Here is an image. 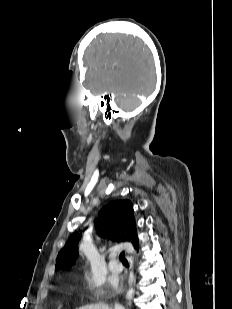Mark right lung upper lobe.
<instances>
[{
    "instance_id": "cb5924a9",
    "label": "right lung upper lobe",
    "mask_w": 232,
    "mask_h": 309,
    "mask_svg": "<svg viewBox=\"0 0 232 309\" xmlns=\"http://www.w3.org/2000/svg\"><path fill=\"white\" fill-rule=\"evenodd\" d=\"M95 227L98 228L100 236L116 242L129 241L138 250L139 240L134 210L129 200H116L104 206L95 220ZM78 241L79 233L75 232L59 252L55 270L67 269L75 263Z\"/></svg>"
}]
</instances>
